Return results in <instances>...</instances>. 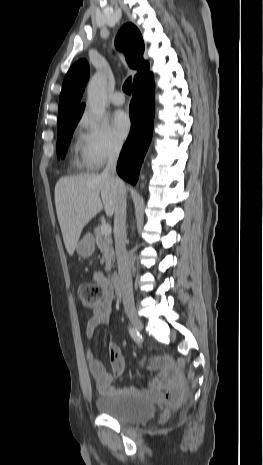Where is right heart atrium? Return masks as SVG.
Instances as JSON below:
<instances>
[{
    "instance_id": "d8ad5b80",
    "label": "right heart atrium",
    "mask_w": 263,
    "mask_h": 465,
    "mask_svg": "<svg viewBox=\"0 0 263 465\" xmlns=\"http://www.w3.org/2000/svg\"><path fill=\"white\" fill-rule=\"evenodd\" d=\"M123 141L104 121L85 115L80 121V150L82 163L89 169H99L115 158Z\"/></svg>"
}]
</instances>
